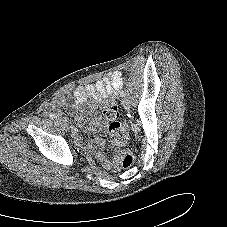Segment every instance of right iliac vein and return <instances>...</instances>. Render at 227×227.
I'll list each match as a JSON object with an SVG mask.
<instances>
[{
	"label": "right iliac vein",
	"instance_id": "1",
	"mask_svg": "<svg viewBox=\"0 0 227 227\" xmlns=\"http://www.w3.org/2000/svg\"><path fill=\"white\" fill-rule=\"evenodd\" d=\"M57 122L65 129V130H69V124L67 123L66 120L60 118L57 120Z\"/></svg>",
	"mask_w": 227,
	"mask_h": 227
}]
</instances>
